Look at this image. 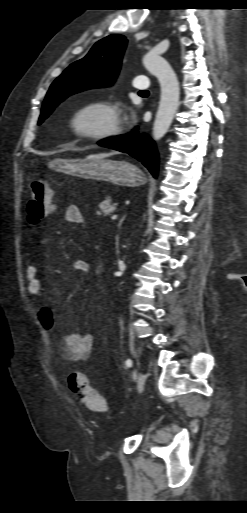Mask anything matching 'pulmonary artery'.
<instances>
[{
    "mask_svg": "<svg viewBox=\"0 0 247 513\" xmlns=\"http://www.w3.org/2000/svg\"><path fill=\"white\" fill-rule=\"evenodd\" d=\"M133 86L138 90L147 89L149 87V81L145 76H138L134 80Z\"/></svg>",
    "mask_w": 247,
    "mask_h": 513,
    "instance_id": "obj_1",
    "label": "pulmonary artery"
}]
</instances>
